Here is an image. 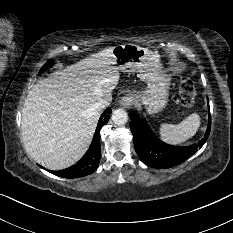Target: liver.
I'll use <instances>...</instances> for the list:
<instances>
[{"label":"liver","instance_id":"liver-1","mask_svg":"<svg viewBox=\"0 0 233 233\" xmlns=\"http://www.w3.org/2000/svg\"><path fill=\"white\" fill-rule=\"evenodd\" d=\"M113 47L55 71L30 90L22 109L26 152L39 164L60 170L76 163L91 144L100 111L119 83Z\"/></svg>","mask_w":233,"mask_h":233}]
</instances>
